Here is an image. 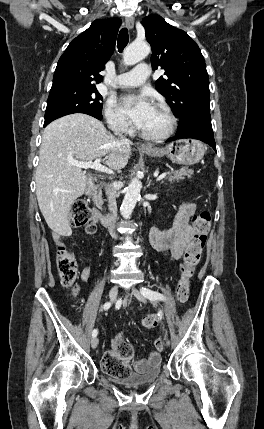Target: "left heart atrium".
Returning <instances> with one entry per match:
<instances>
[{
	"mask_svg": "<svg viewBox=\"0 0 264 429\" xmlns=\"http://www.w3.org/2000/svg\"><path fill=\"white\" fill-rule=\"evenodd\" d=\"M153 109L148 97L141 95H126L121 99V110L137 126L141 127Z\"/></svg>",
	"mask_w": 264,
	"mask_h": 429,
	"instance_id": "left-heart-atrium-1",
	"label": "left heart atrium"
}]
</instances>
